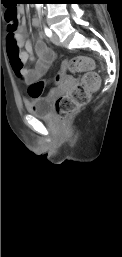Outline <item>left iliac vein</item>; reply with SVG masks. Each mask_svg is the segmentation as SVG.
Here are the masks:
<instances>
[{"label":"left iliac vein","instance_id":"1","mask_svg":"<svg viewBox=\"0 0 122 257\" xmlns=\"http://www.w3.org/2000/svg\"><path fill=\"white\" fill-rule=\"evenodd\" d=\"M51 41H52L55 45H57V46H60V45H61L59 36H58L56 33H53V34L51 35Z\"/></svg>","mask_w":122,"mask_h":257}]
</instances>
